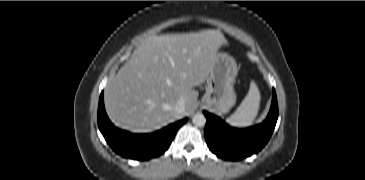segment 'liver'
Here are the masks:
<instances>
[{
	"label": "liver",
	"instance_id": "6515ba94",
	"mask_svg": "<svg viewBox=\"0 0 365 180\" xmlns=\"http://www.w3.org/2000/svg\"><path fill=\"white\" fill-rule=\"evenodd\" d=\"M226 40L219 30L149 37L113 76L105 108L117 126L150 132L189 115L196 107L195 86L205 82ZM185 101V111L174 106Z\"/></svg>",
	"mask_w": 365,
	"mask_h": 180
}]
</instances>
